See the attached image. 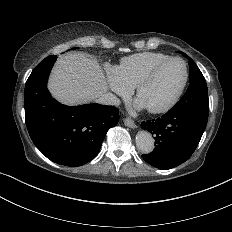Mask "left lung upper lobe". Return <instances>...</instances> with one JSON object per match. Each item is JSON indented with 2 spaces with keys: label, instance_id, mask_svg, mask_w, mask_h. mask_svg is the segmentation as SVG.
<instances>
[{
  "label": "left lung upper lobe",
  "instance_id": "1",
  "mask_svg": "<svg viewBox=\"0 0 232 232\" xmlns=\"http://www.w3.org/2000/svg\"><path fill=\"white\" fill-rule=\"evenodd\" d=\"M178 52L189 59L190 85L180 101L170 110L187 111L207 121L209 100L205 78L189 56L181 51Z\"/></svg>",
  "mask_w": 232,
  "mask_h": 232
}]
</instances>
